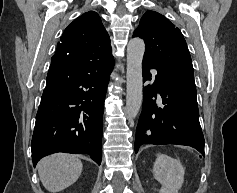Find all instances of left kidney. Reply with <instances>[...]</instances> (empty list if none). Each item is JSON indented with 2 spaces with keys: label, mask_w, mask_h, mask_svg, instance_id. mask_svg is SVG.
I'll list each match as a JSON object with an SVG mask.
<instances>
[{
  "label": "left kidney",
  "mask_w": 237,
  "mask_h": 193,
  "mask_svg": "<svg viewBox=\"0 0 237 193\" xmlns=\"http://www.w3.org/2000/svg\"><path fill=\"white\" fill-rule=\"evenodd\" d=\"M153 172L162 185L159 193H178L184 181V168L179 160L161 154L154 163Z\"/></svg>",
  "instance_id": "obj_1"
}]
</instances>
